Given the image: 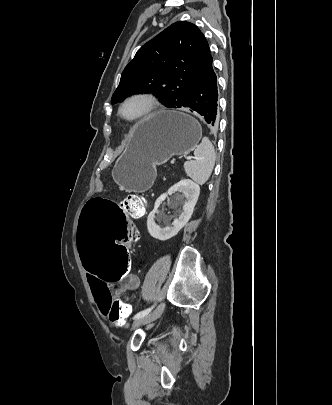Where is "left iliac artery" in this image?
<instances>
[{
    "label": "left iliac artery",
    "mask_w": 332,
    "mask_h": 405,
    "mask_svg": "<svg viewBox=\"0 0 332 405\" xmlns=\"http://www.w3.org/2000/svg\"><path fill=\"white\" fill-rule=\"evenodd\" d=\"M153 307H154V306H151V307H149V308H147V309H145V310H143V311L138 312V313L134 316V319H138V318H141V317H144V316L148 315V314L151 312V310L153 309Z\"/></svg>",
    "instance_id": "left-iliac-artery-1"
}]
</instances>
